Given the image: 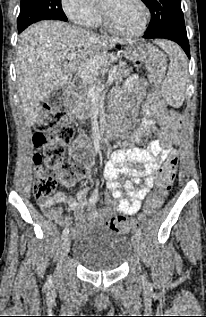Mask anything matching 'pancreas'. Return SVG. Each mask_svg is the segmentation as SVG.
I'll use <instances>...</instances> for the list:
<instances>
[{
    "label": "pancreas",
    "mask_w": 206,
    "mask_h": 317,
    "mask_svg": "<svg viewBox=\"0 0 206 317\" xmlns=\"http://www.w3.org/2000/svg\"><path fill=\"white\" fill-rule=\"evenodd\" d=\"M119 65V67H116V72L114 75V81L116 84L121 83L123 79L128 77L132 71L131 68L127 67L128 64L126 61H121ZM84 76L90 78L91 76H96V72H92L91 75ZM89 88L101 89L102 81L97 79V82H94L93 85L91 84L87 87H82L74 93L71 104L74 109V114L79 120H86L91 115L93 98L88 94Z\"/></svg>",
    "instance_id": "cf45deb5"
}]
</instances>
